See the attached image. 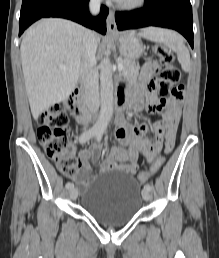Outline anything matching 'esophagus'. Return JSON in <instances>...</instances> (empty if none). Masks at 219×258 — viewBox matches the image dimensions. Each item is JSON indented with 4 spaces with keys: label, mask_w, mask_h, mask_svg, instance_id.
Returning <instances> with one entry per match:
<instances>
[{
    "label": "esophagus",
    "mask_w": 219,
    "mask_h": 258,
    "mask_svg": "<svg viewBox=\"0 0 219 258\" xmlns=\"http://www.w3.org/2000/svg\"><path fill=\"white\" fill-rule=\"evenodd\" d=\"M107 31L108 33H115L117 31V25L115 22V13L113 10L109 11L107 17Z\"/></svg>",
    "instance_id": "esophagus-1"
}]
</instances>
